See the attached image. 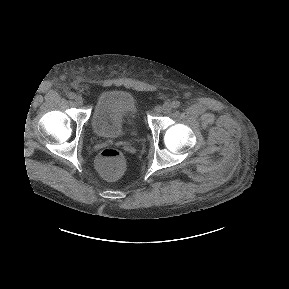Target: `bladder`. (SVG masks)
<instances>
[{"mask_svg": "<svg viewBox=\"0 0 289 289\" xmlns=\"http://www.w3.org/2000/svg\"><path fill=\"white\" fill-rule=\"evenodd\" d=\"M137 106L134 98L125 92L108 91L103 93L94 109L92 128L101 138L115 139L126 132L134 136Z\"/></svg>", "mask_w": 289, "mask_h": 289, "instance_id": "bladder-1", "label": "bladder"}]
</instances>
